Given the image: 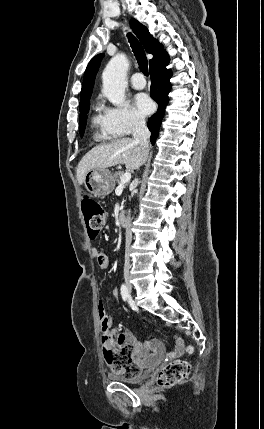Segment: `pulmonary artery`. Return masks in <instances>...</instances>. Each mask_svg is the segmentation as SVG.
Returning a JSON list of instances; mask_svg holds the SVG:
<instances>
[{
    "instance_id": "pulmonary-artery-1",
    "label": "pulmonary artery",
    "mask_w": 264,
    "mask_h": 429,
    "mask_svg": "<svg viewBox=\"0 0 264 429\" xmlns=\"http://www.w3.org/2000/svg\"><path fill=\"white\" fill-rule=\"evenodd\" d=\"M131 85L134 89L140 90L146 86V81L141 73H134L131 76Z\"/></svg>"
}]
</instances>
